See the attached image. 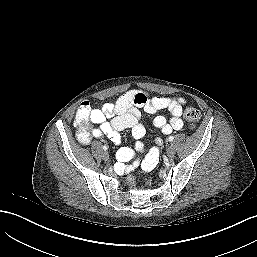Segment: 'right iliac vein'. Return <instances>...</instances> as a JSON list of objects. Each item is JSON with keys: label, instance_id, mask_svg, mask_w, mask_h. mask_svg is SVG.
<instances>
[{"label": "right iliac vein", "instance_id": "1", "mask_svg": "<svg viewBox=\"0 0 257 257\" xmlns=\"http://www.w3.org/2000/svg\"><path fill=\"white\" fill-rule=\"evenodd\" d=\"M102 156H103V160H105V161H108V160H109V154H108V152H104Z\"/></svg>", "mask_w": 257, "mask_h": 257}]
</instances>
